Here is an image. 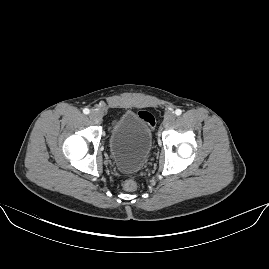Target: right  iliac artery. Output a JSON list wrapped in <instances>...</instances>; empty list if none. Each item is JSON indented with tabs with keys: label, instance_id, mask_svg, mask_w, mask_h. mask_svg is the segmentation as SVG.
<instances>
[{
	"label": "right iliac artery",
	"instance_id": "right-iliac-artery-1",
	"mask_svg": "<svg viewBox=\"0 0 269 269\" xmlns=\"http://www.w3.org/2000/svg\"><path fill=\"white\" fill-rule=\"evenodd\" d=\"M89 112H90V111H89V109H87V108H85V109L83 110V113H84V114H89Z\"/></svg>",
	"mask_w": 269,
	"mask_h": 269
}]
</instances>
